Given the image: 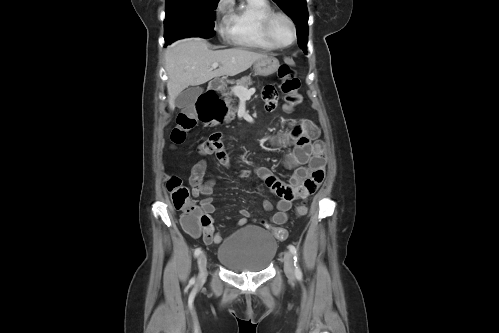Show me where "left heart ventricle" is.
Returning <instances> with one entry per match:
<instances>
[{
    "mask_svg": "<svg viewBox=\"0 0 499 333\" xmlns=\"http://www.w3.org/2000/svg\"><path fill=\"white\" fill-rule=\"evenodd\" d=\"M272 31L277 41L281 44H287L291 40V27L283 18L275 19Z\"/></svg>",
    "mask_w": 499,
    "mask_h": 333,
    "instance_id": "left-heart-ventricle-1",
    "label": "left heart ventricle"
}]
</instances>
